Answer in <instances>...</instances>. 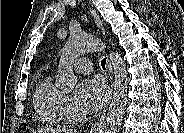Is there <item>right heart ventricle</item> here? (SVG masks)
Instances as JSON below:
<instances>
[{"instance_id": "right-heart-ventricle-1", "label": "right heart ventricle", "mask_w": 184, "mask_h": 133, "mask_svg": "<svg viewBox=\"0 0 184 133\" xmlns=\"http://www.w3.org/2000/svg\"><path fill=\"white\" fill-rule=\"evenodd\" d=\"M33 100L36 111L46 122L57 124L64 119L63 95L53 84L49 74L38 82Z\"/></svg>"}]
</instances>
